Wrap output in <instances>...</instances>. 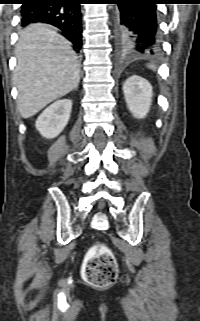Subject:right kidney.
Listing matches in <instances>:
<instances>
[{
  "label": "right kidney",
  "mask_w": 200,
  "mask_h": 321,
  "mask_svg": "<svg viewBox=\"0 0 200 321\" xmlns=\"http://www.w3.org/2000/svg\"><path fill=\"white\" fill-rule=\"evenodd\" d=\"M71 109L70 99L55 101L39 115L35 123L36 129L47 139L57 137L66 127Z\"/></svg>",
  "instance_id": "ca27d5eb"
}]
</instances>
